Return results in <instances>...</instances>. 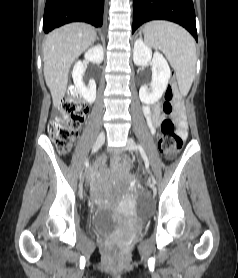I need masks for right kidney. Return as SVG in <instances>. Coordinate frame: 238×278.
Returning a JSON list of instances; mask_svg holds the SVG:
<instances>
[{
	"instance_id": "obj_1",
	"label": "right kidney",
	"mask_w": 238,
	"mask_h": 278,
	"mask_svg": "<svg viewBox=\"0 0 238 278\" xmlns=\"http://www.w3.org/2000/svg\"><path fill=\"white\" fill-rule=\"evenodd\" d=\"M103 57L104 53L101 45L93 46L85 53V59L94 64H100L103 61ZM84 73V64L81 61H77L72 71L73 82L83 98L88 103H93L96 99V83L93 79H91L88 86H85L83 83Z\"/></svg>"
}]
</instances>
